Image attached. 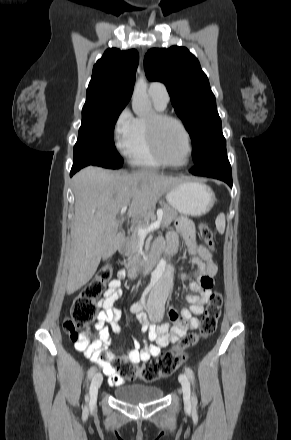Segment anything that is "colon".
<instances>
[{"label":"colon","mask_w":291,"mask_h":440,"mask_svg":"<svg viewBox=\"0 0 291 440\" xmlns=\"http://www.w3.org/2000/svg\"><path fill=\"white\" fill-rule=\"evenodd\" d=\"M200 235L205 244L210 249H213V234L208 225L202 224L200 226ZM112 275V266L110 264H103L99 268L95 278L87 284L81 293L75 298L69 315L63 320V329L73 340L83 342L84 338L87 337L85 343H94L90 342V332H87V328L97 313L95 300L105 291L106 284L111 280ZM210 286L211 283L207 280L206 287L209 288ZM222 302V295L219 292H215L210 296L202 318L201 335L203 337H208L216 330L221 314ZM171 320L172 322L176 321L174 318H171ZM196 341L197 337L195 335H189L176 347L160 353L156 360H149L140 367L132 366L125 361L118 359L114 361L117 362V365L114 367L124 378H140L145 382H155L174 374L186 361L184 348ZM108 358L109 353L107 350H100V359L107 360Z\"/></svg>","instance_id":"obj_1"}]
</instances>
